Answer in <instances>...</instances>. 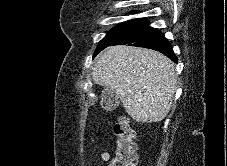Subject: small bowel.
<instances>
[{
  "instance_id": "obj_1",
  "label": "small bowel",
  "mask_w": 227,
  "mask_h": 166,
  "mask_svg": "<svg viewBox=\"0 0 227 166\" xmlns=\"http://www.w3.org/2000/svg\"><path fill=\"white\" fill-rule=\"evenodd\" d=\"M99 156L102 161H108L110 159V154L108 151L100 152Z\"/></svg>"
}]
</instances>
